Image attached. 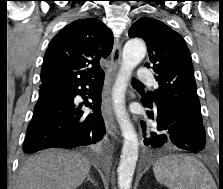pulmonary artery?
<instances>
[{"instance_id":"obj_1","label":"pulmonary artery","mask_w":223,"mask_h":189,"mask_svg":"<svg viewBox=\"0 0 223 189\" xmlns=\"http://www.w3.org/2000/svg\"><path fill=\"white\" fill-rule=\"evenodd\" d=\"M137 78L139 81H143V82H153V75L151 73V71L145 69V68H141L138 73H137Z\"/></svg>"}]
</instances>
